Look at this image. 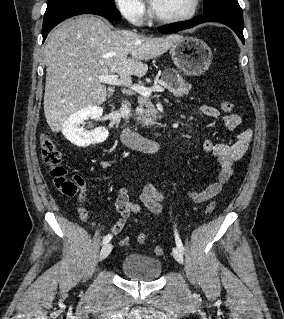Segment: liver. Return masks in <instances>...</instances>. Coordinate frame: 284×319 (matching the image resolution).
Here are the masks:
<instances>
[{
	"label": "liver",
	"mask_w": 284,
	"mask_h": 319,
	"mask_svg": "<svg viewBox=\"0 0 284 319\" xmlns=\"http://www.w3.org/2000/svg\"><path fill=\"white\" fill-rule=\"evenodd\" d=\"M182 36L147 37L132 31H113L102 19L82 15L61 23L44 47L46 83L44 114L53 132L82 108L98 106L114 93L98 77L117 74L126 86L132 76L148 71L143 61L167 52ZM131 55L128 57V55Z\"/></svg>",
	"instance_id": "obj_1"
}]
</instances>
